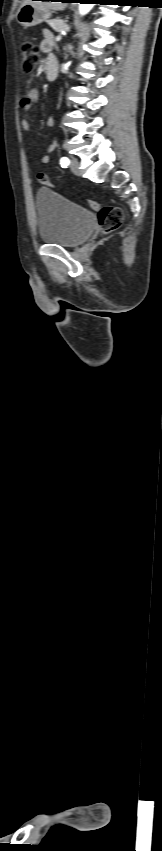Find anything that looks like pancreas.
<instances>
[{
    "instance_id": "cf45deb5",
    "label": "pancreas",
    "mask_w": 162,
    "mask_h": 851,
    "mask_svg": "<svg viewBox=\"0 0 162 851\" xmlns=\"http://www.w3.org/2000/svg\"><path fill=\"white\" fill-rule=\"evenodd\" d=\"M48 24L57 32L69 30L68 25H66L64 21L60 19L49 20Z\"/></svg>"
}]
</instances>
